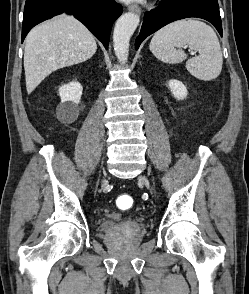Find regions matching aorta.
Returning a JSON list of instances; mask_svg holds the SVG:
<instances>
[{"mask_svg":"<svg viewBox=\"0 0 249 294\" xmlns=\"http://www.w3.org/2000/svg\"><path fill=\"white\" fill-rule=\"evenodd\" d=\"M140 18L136 13L123 14L116 22L113 33V47L120 63H125L129 55L130 38L139 24Z\"/></svg>","mask_w":249,"mask_h":294,"instance_id":"aorta-1","label":"aorta"}]
</instances>
